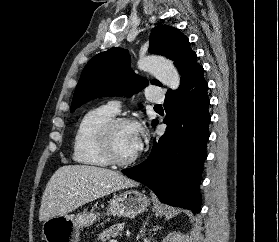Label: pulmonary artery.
<instances>
[{"mask_svg":"<svg viewBox=\"0 0 279 242\" xmlns=\"http://www.w3.org/2000/svg\"><path fill=\"white\" fill-rule=\"evenodd\" d=\"M146 97L148 101L152 103H161L164 100V93L162 92L160 86L150 85L146 89ZM108 108L116 114L120 110V103L116 100H113L109 102Z\"/></svg>","mask_w":279,"mask_h":242,"instance_id":"1","label":"pulmonary artery"}]
</instances>
